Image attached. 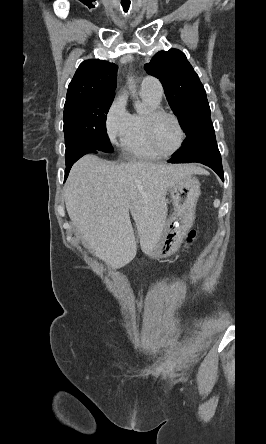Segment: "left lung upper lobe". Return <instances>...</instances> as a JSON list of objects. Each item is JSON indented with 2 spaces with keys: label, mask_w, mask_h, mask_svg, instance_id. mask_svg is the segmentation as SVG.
<instances>
[{
  "label": "left lung upper lobe",
  "mask_w": 266,
  "mask_h": 444,
  "mask_svg": "<svg viewBox=\"0 0 266 444\" xmlns=\"http://www.w3.org/2000/svg\"><path fill=\"white\" fill-rule=\"evenodd\" d=\"M144 69L161 81L169 105L187 136L211 122L205 89L182 51H160Z\"/></svg>",
  "instance_id": "5c2ea615"
}]
</instances>
